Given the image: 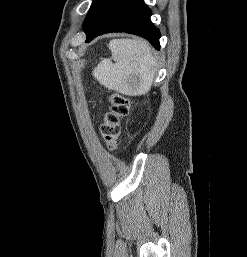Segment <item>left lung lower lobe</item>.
<instances>
[{
	"instance_id": "0a47b994",
	"label": "left lung lower lobe",
	"mask_w": 247,
	"mask_h": 257,
	"mask_svg": "<svg viewBox=\"0 0 247 257\" xmlns=\"http://www.w3.org/2000/svg\"><path fill=\"white\" fill-rule=\"evenodd\" d=\"M143 0H97L86 23V42L109 32H127L147 39L160 49V31L150 20Z\"/></svg>"
}]
</instances>
